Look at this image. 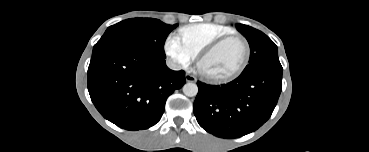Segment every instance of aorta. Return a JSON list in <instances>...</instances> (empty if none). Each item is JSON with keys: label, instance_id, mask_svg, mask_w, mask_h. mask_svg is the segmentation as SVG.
<instances>
[{"label": "aorta", "instance_id": "aorta-1", "mask_svg": "<svg viewBox=\"0 0 369 152\" xmlns=\"http://www.w3.org/2000/svg\"><path fill=\"white\" fill-rule=\"evenodd\" d=\"M183 93L188 97H194L198 93V87L195 83L188 82L183 86Z\"/></svg>", "mask_w": 369, "mask_h": 152}]
</instances>
